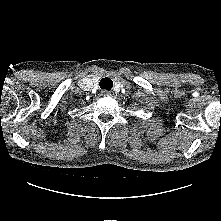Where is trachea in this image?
Returning a JSON list of instances; mask_svg holds the SVG:
<instances>
[{
  "label": "trachea",
  "mask_w": 221,
  "mask_h": 221,
  "mask_svg": "<svg viewBox=\"0 0 221 221\" xmlns=\"http://www.w3.org/2000/svg\"><path fill=\"white\" fill-rule=\"evenodd\" d=\"M99 86L101 89L110 90L113 87V81L109 77L102 78Z\"/></svg>",
  "instance_id": "obj_1"
}]
</instances>
